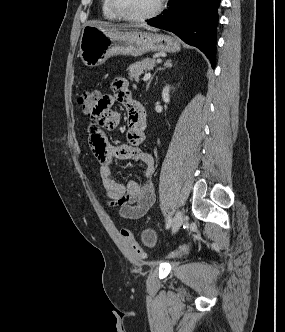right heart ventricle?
I'll list each match as a JSON object with an SVG mask.
<instances>
[{"mask_svg":"<svg viewBox=\"0 0 285 332\" xmlns=\"http://www.w3.org/2000/svg\"><path fill=\"white\" fill-rule=\"evenodd\" d=\"M102 15L106 20L116 21L119 18L115 15L109 5V0H101Z\"/></svg>","mask_w":285,"mask_h":332,"instance_id":"obj_1","label":"right heart ventricle"}]
</instances>
